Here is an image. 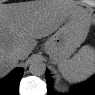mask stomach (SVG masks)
Wrapping results in <instances>:
<instances>
[{"mask_svg":"<svg viewBox=\"0 0 95 95\" xmlns=\"http://www.w3.org/2000/svg\"><path fill=\"white\" fill-rule=\"evenodd\" d=\"M82 16L83 11L80 12V16L66 19L44 43V50L53 63L58 64L68 59L86 39L88 29L83 23Z\"/></svg>","mask_w":95,"mask_h":95,"instance_id":"1","label":"stomach"}]
</instances>
